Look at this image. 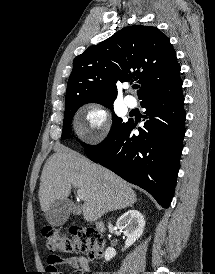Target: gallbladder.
I'll return each instance as SVG.
<instances>
[{"label": "gallbladder", "instance_id": "obj_1", "mask_svg": "<svg viewBox=\"0 0 215 274\" xmlns=\"http://www.w3.org/2000/svg\"><path fill=\"white\" fill-rule=\"evenodd\" d=\"M80 209L69 199H58L54 201L45 211L46 221L52 226L63 225L70 216V213L78 214Z\"/></svg>", "mask_w": 215, "mask_h": 274}]
</instances>
